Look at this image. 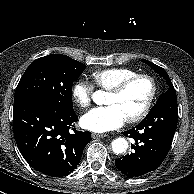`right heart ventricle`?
Listing matches in <instances>:
<instances>
[{"label": "right heart ventricle", "instance_id": "e07e8e85", "mask_svg": "<svg viewBox=\"0 0 194 194\" xmlns=\"http://www.w3.org/2000/svg\"><path fill=\"white\" fill-rule=\"evenodd\" d=\"M135 74L137 73L134 70L128 68H107L93 72L91 78L98 88L109 91L124 79Z\"/></svg>", "mask_w": 194, "mask_h": 194}]
</instances>
